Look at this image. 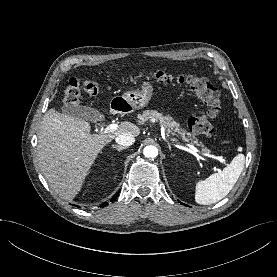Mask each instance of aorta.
<instances>
[{
    "instance_id": "obj_1",
    "label": "aorta",
    "mask_w": 277,
    "mask_h": 277,
    "mask_svg": "<svg viewBox=\"0 0 277 277\" xmlns=\"http://www.w3.org/2000/svg\"><path fill=\"white\" fill-rule=\"evenodd\" d=\"M143 153L147 158H155L158 155V149L155 146H146Z\"/></svg>"
}]
</instances>
